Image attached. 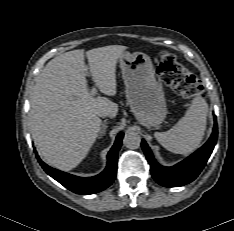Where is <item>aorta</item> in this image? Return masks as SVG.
I'll return each mask as SVG.
<instances>
[{"label":"aorta","mask_w":234,"mask_h":231,"mask_svg":"<svg viewBox=\"0 0 234 231\" xmlns=\"http://www.w3.org/2000/svg\"><path fill=\"white\" fill-rule=\"evenodd\" d=\"M123 144L128 149H137L141 144V137L137 132L127 131L123 138Z\"/></svg>","instance_id":"aorta-1"}]
</instances>
